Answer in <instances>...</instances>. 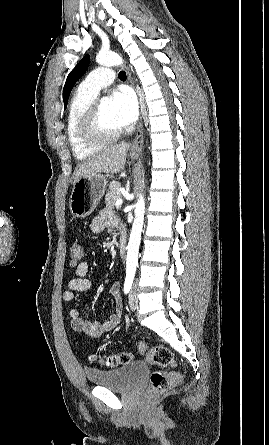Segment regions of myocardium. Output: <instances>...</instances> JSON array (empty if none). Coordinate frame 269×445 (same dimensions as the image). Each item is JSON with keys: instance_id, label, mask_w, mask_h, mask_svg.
<instances>
[{"instance_id": "f54148a6", "label": "myocardium", "mask_w": 269, "mask_h": 445, "mask_svg": "<svg viewBox=\"0 0 269 445\" xmlns=\"http://www.w3.org/2000/svg\"><path fill=\"white\" fill-rule=\"evenodd\" d=\"M100 102L94 100L82 114L78 123V134L89 145H103L117 140L124 130H108L100 120Z\"/></svg>"}]
</instances>
